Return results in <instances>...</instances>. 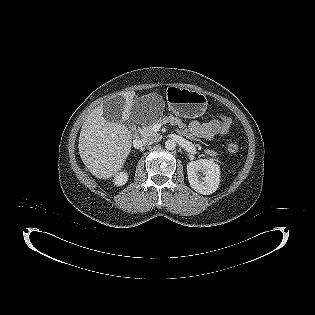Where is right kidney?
<instances>
[{
    "label": "right kidney",
    "instance_id": "1",
    "mask_svg": "<svg viewBox=\"0 0 315 315\" xmlns=\"http://www.w3.org/2000/svg\"><path fill=\"white\" fill-rule=\"evenodd\" d=\"M128 180V175L124 172H121L120 174L116 175L114 178V183L117 186H122L124 185Z\"/></svg>",
    "mask_w": 315,
    "mask_h": 315
}]
</instances>
